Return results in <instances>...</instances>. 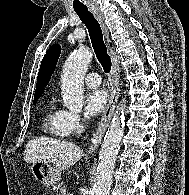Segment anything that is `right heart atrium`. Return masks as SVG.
Instances as JSON below:
<instances>
[{
    "mask_svg": "<svg viewBox=\"0 0 189 195\" xmlns=\"http://www.w3.org/2000/svg\"><path fill=\"white\" fill-rule=\"evenodd\" d=\"M82 116L79 113L66 111L65 130L68 134L77 132L82 126Z\"/></svg>",
    "mask_w": 189,
    "mask_h": 195,
    "instance_id": "obj_1",
    "label": "right heart atrium"
}]
</instances>
